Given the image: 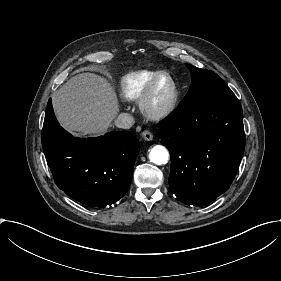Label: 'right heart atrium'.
Returning <instances> with one entry per match:
<instances>
[{
	"label": "right heart atrium",
	"mask_w": 281,
	"mask_h": 281,
	"mask_svg": "<svg viewBox=\"0 0 281 281\" xmlns=\"http://www.w3.org/2000/svg\"><path fill=\"white\" fill-rule=\"evenodd\" d=\"M103 95L107 98V100L110 102L112 108L114 110L118 109L120 106L119 104L115 101V99L113 98V96L111 95V93L108 90H104L103 91Z\"/></svg>",
	"instance_id": "right-heart-atrium-1"
}]
</instances>
